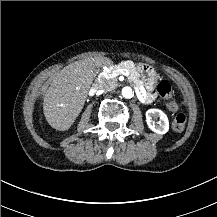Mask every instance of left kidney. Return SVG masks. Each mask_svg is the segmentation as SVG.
<instances>
[{"mask_svg":"<svg viewBox=\"0 0 217 217\" xmlns=\"http://www.w3.org/2000/svg\"><path fill=\"white\" fill-rule=\"evenodd\" d=\"M145 117L148 128L155 134L164 135L169 131V120L163 111L156 108L149 109L146 111ZM152 117H159V120L155 122Z\"/></svg>","mask_w":217,"mask_h":217,"instance_id":"left-kidney-1","label":"left kidney"}]
</instances>
